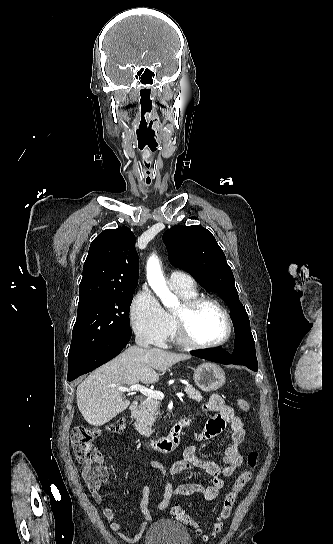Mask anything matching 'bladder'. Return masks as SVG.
<instances>
[{
  "label": "bladder",
  "instance_id": "1",
  "mask_svg": "<svg viewBox=\"0 0 333 544\" xmlns=\"http://www.w3.org/2000/svg\"><path fill=\"white\" fill-rule=\"evenodd\" d=\"M144 544H192V539L187 528L181 523L160 519L147 529Z\"/></svg>",
  "mask_w": 333,
  "mask_h": 544
}]
</instances>
